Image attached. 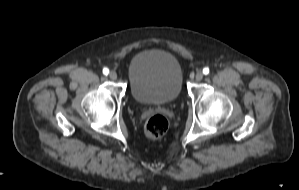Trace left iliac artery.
<instances>
[{"mask_svg": "<svg viewBox=\"0 0 299 190\" xmlns=\"http://www.w3.org/2000/svg\"><path fill=\"white\" fill-rule=\"evenodd\" d=\"M203 73H204L205 75L209 74V68L205 67V68L203 69Z\"/></svg>", "mask_w": 299, "mask_h": 190, "instance_id": "left-iliac-artery-1", "label": "left iliac artery"}]
</instances>
